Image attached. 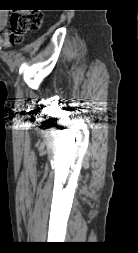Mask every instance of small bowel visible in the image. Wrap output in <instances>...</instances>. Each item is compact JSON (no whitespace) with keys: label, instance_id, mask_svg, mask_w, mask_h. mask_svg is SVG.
<instances>
[{"label":"small bowel","instance_id":"small-bowel-1","mask_svg":"<svg viewBox=\"0 0 138 253\" xmlns=\"http://www.w3.org/2000/svg\"><path fill=\"white\" fill-rule=\"evenodd\" d=\"M7 15L0 13V50L9 46V38L7 33Z\"/></svg>","mask_w":138,"mask_h":253}]
</instances>
